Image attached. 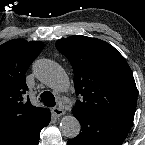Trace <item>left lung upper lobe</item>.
Returning a JSON list of instances; mask_svg holds the SVG:
<instances>
[{"instance_id":"left-lung-upper-lobe-1","label":"left lung upper lobe","mask_w":145,"mask_h":145,"mask_svg":"<svg viewBox=\"0 0 145 145\" xmlns=\"http://www.w3.org/2000/svg\"><path fill=\"white\" fill-rule=\"evenodd\" d=\"M56 47L70 61L76 94L82 96L73 112L134 117V77L124 57L112 45L79 35L58 40Z\"/></svg>"}]
</instances>
